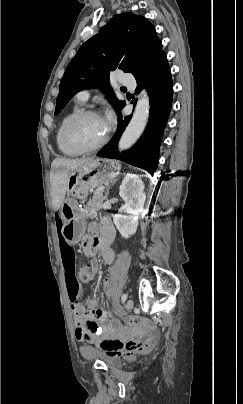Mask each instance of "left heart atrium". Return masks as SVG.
Returning a JSON list of instances; mask_svg holds the SVG:
<instances>
[{"mask_svg": "<svg viewBox=\"0 0 243 404\" xmlns=\"http://www.w3.org/2000/svg\"><path fill=\"white\" fill-rule=\"evenodd\" d=\"M102 128L105 134H107L114 123V114L111 111H106V113L100 117Z\"/></svg>", "mask_w": 243, "mask_h": 404, "instance_id": "39dd6f15", "label": "left heart atrium"}]
</instances>
